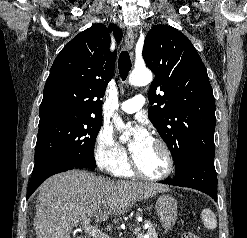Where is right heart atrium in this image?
<instances>
[{
  "instance_id": "obj_1",
  "label": "right heart atrium",
  "mask_w": 247,
  "mask_h": 238,
  "mask_svg": "<svg viewBox=\"0 0 247 238\" xmlns=\"http://www.w3.org/2000/svg\"><path fill=\"white\" fill-rule=\"evenodd\" d=\"M94 157L98 166L109 172H115L128 161L125 150L115 141L107 126L101 127L96 135Z\"/></svg>"
}]
</instances>
